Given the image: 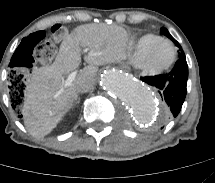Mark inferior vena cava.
Instances as JSON below:
<instances>
[{
    "mask_svg": "<svg viewBox=\"0 0 215 183\" xmlns=\"http://www.w3.org/2000/svg\"><path fill=\"white\" fill-rule=\"evenodd\" d=\"M95 83L85 80L81 81L77 86V92L78 93H87L91 91L94 88Z\"/></svg>",
    "mask_w": 215,
    "mask_h": 183,
    "instance_id": "1",
    "label": "inferior vena cava"
}]
</instances>
